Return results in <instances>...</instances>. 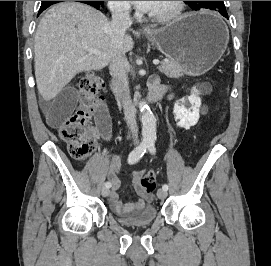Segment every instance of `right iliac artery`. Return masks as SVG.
<instances>
[{
	"instance_id": "1",
	"label": "right iliac artery",
	"mask_w": 271,
	"mask_h": 266,
	"mask_svg": "<svg viewBox=\"0 0 271 266\" xmlns=\"http://www.w3.org/2000/svg\"><path fill=\"white\" fill-rule=\"evenodd\" d=\"M148 145L149 143L146 141H143L137 148H135L134 150H132L128 156V163L129 164H134L136 163L146 152V150L148 149ZM105 186L107 187H111V183L110 182H106Z\"/></svg>"
}]
</instances>
